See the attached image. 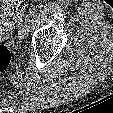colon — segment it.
<instances>
[{"label": "colon", "instance_id": "1", "mask_svg": "<svg viewBox=\"0 0 113 113\" xmlns=\"http://www.w3.org/2000/svg\"><path fill=\"white\" fill-rule=\"evenodd\" d=\"M25 11L21 0H1L0 12L9 16L13 21H20ZM12 42L0 43V74L8 69L12 60Z\"/></svg>", "mask_w": 113, "mask_h": 113}]
</instances>
